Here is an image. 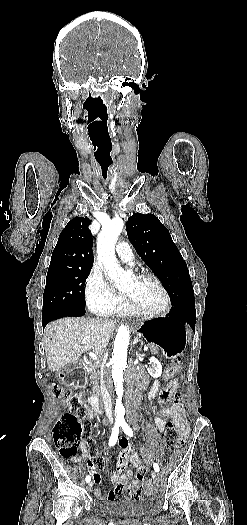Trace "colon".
Wrapping results in <instances>:
<instances>
[{"mask_svg":"<svg viewBox=\"0 0 247 525\" xmlns=\"http://www.w3.org/2000/svg\"><path fill=\"white\" fill-rule=\"evenodd\" d=\"M184 369L185 366L182 363L177 364V366H171L163 372V376L159 378V381L165 383L167 379L178 376ZM54 393L57 397H61L69 404L70 411L58 420L53 432V439L60 456L72 458L77 454L82 437L88 428L89 406L78 393L71 390H63L55 386ZM177 442V429L172 422H168L163 438V445L165 448L171 449ZM145 477L146 468L141 467L136 474V480L142 481L143 483Z\"/></svg>","mask_w":247,"mask_h":525,"instance_id":"colon-1","label":"colon"}]
</instances>
